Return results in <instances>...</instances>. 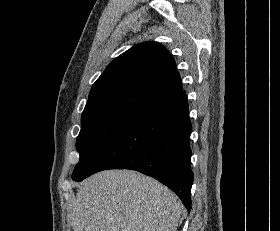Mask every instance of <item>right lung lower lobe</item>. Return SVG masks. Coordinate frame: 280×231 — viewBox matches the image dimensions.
<instances>
[{"label": "right lung lower lobe", "instance_id": "obj_1", "mask_svg": "<svg viewBox=\"0 0 280 231\" xmlns=\"http://www.w3.org/2000/svg\"><path fill=\"white\" fill-rule=\"evenodd\" d=\"M191 131L188 102L157 112L125 130L71 178L80 182L102 170H136L168 186L190 212Z\"/></svg>", "mask_w": 280, "mask_h": 231}]
</instances>
